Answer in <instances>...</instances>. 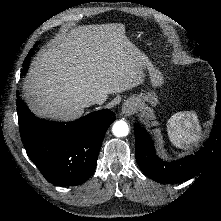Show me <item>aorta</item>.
<instances>
[{
    "label": "aorta",
    "mask_w": 221,
    "mask_h": 221,
    "mask_svg": "<svg viewBox=\"0 0 221 221\" xmlns=\"http://www.w3.org/2000/svg\"><path fill=\"white\" fill-rule=\"evenodd\" d=\"M112 132H113V134H114L116 137H124V136H127L128 133H129V126H128V124H127L125 121H123V120L116 121V122L113 124Z\"/></svg>",
    "instance_id": "1"
}]
</instances>
